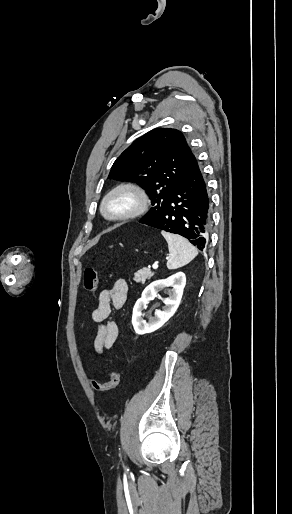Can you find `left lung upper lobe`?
Listing matches in <instances>:
<instances>
[{
	"mask_svg": "<svg viewBox=\"0 0 292 514\" xmlns=\"http://www.w3.org/2000/svg\"><path fill=\"white\" fill-rule=\"evenodd\" d=\"M192 157L182 132L156 128L136 139L115 160L108 178L135 182L146 190L153 207L142 220L150 221L186 175Z\"/></svg>",
	"mask_w": 292,
	"mask_h": 514,
	"instance_id": "left-lung-upper-lobe-1",
	"label": "left lung upper lobe"
}]
</instances>
